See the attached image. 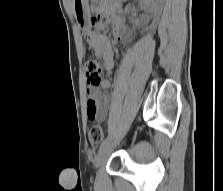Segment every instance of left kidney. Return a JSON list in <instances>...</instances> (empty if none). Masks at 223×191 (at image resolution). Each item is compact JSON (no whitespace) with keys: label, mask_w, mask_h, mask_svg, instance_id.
<instances>
[{"label":"left kidney","mask_w":223,"mask_h":191,"mask_svg":"<svg viewBox=\"0 0 223 191\" xmlns=\"http://www.w3.org/2000/svg\"><path fill=\"white\" fill-rule=\"evenodd\" d=\"M164 0H140L139 4L141 8L149 10L154 17V21L159 18Z\"/></svg>","instance_id":"obj_1"}]
</instances>
